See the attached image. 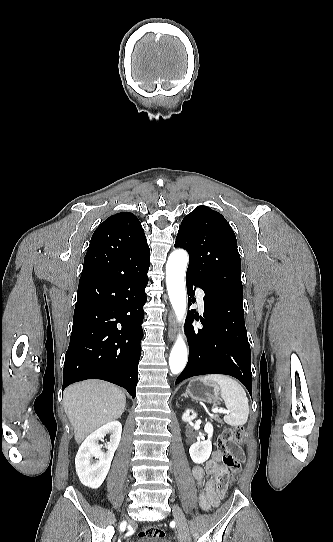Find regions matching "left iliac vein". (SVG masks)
<instances>
[{"label":"left iliac vein","instance_id":"4c4485c4","mask_svg":"<svg viewBox=\"0 0 333 542\" xmlns=\"http://www.w3.org/2000/svg\"><path fill=\"white\" fill-rule=\"evenodd\" d=\"M174 521L177 523L178 535L181 542H190V534L187 522L182 509L176 505H172Z\"/></svg>","mask_w":333,"mask_h":542}]
</instances>
